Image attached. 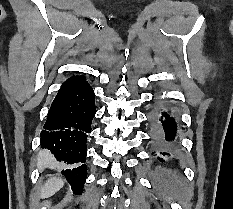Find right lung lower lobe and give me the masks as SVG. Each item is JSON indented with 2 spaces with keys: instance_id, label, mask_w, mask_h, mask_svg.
Masks as SVG:
<instances>
[{
  "instance_id": "right-lung-lower-lobe-1",
  "label": "right lung lower lobe",
  "mask_w": 233,
  "mask_h": 209,
  "mask_svg": "<svg viewBox=\"0 0 233 209\" xmlns=\"http://www.w3.org/2000/svg\"><path fill=\"white\" fill-rule=\"evenodd\" d=\"M95 112L93 89L83 77L73 76L61 86L40 134L42 148L65 163L62 174L75 194L82 193L86 181V140Z\"/></svg>"
}]
</instances>
